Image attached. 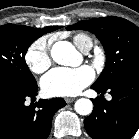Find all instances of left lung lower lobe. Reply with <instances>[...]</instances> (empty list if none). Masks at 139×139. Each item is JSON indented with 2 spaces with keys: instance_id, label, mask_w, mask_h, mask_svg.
<instances>
[{
  "instance_id": "left-lung-lower-lobe-1",
  "label": "left lung lower lobe",
  "mask_w": 139,
  "mask_h": 139,
  "mask_svg": "<svg viewBox=\"0 0 139 139\" xmlns=\"http://www.w3.org/2000/svg\"><path fill=\"white\" fill-rule=\"evenodd\" d=\"M97 93L110 91L112 100L103 95L92 100L94 109L84 120L93 139H130L139 128V68L120 76L106 89L92 85Z\"/></svg>"
}]
</instances>
